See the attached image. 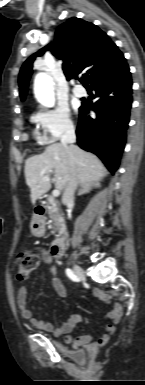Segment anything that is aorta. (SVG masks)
Masks as SVG:
<instances>
[{
  "instance_id": "obj_1",
  "label": "aorta",
  "mask_w": 145,
  "mask_h": 385,
  "mask_svg": "<svg viewBox=\"0 0 145 385\" xmlns=\"http://www.w3.org/2000/svg\"><path fill=\"white\" fill-rule=\"evenodd\" d=\"M34 94L37 101L45 107L55 104L54 81L46 73H38L34 80Z\"/></svg>"
}]
</instances>
